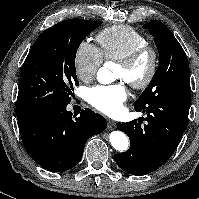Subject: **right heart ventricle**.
Segmentation results:
<instances>
[{
	"instance_id": "right-heart-ventricle-1",
	"label": "right heart ventricle",
	"mask_w": 199,
	"mask_h": 199,
	"mask_svg": "<svg viewBox=\"0 0 199 199\" xmlns=\"http://www.w3.org/2000/svg\"><path fill=\"white\" fill-rule=\"evenodd\" d=\"M102 57L107 61H118L132 51L147 45V39L133 27L114 25L97 35Z\"/></svg>"
}]
</instances>
